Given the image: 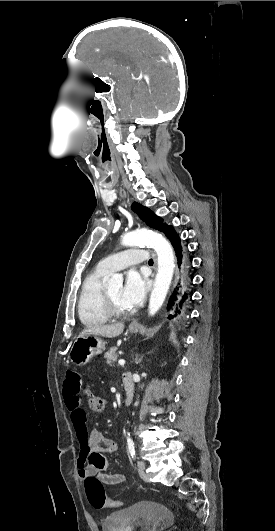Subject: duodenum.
I'll return each instance as SVG.
<instances>
[{"mask_svg": "<svg viewBox=\"0 0 275 531\" xmlns=\"http://www.w3.org/2000/svg\"><path fill=\"white\" fill-rule=\"evenodd\" d=\"M122 384L124 387V404L129 405L135 394L134 380L130 373H124L122 376Z\"/></svg>", "mask_w": 275, "mask_h": 531, "instance_id": "duodenum-1", "label": "duodenum"}]
</instances>
